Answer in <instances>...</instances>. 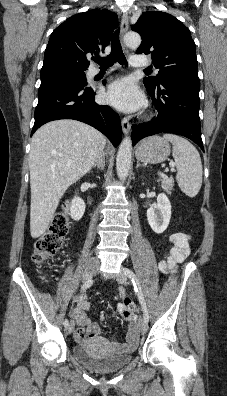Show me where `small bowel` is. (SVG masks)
<instances>
[{
	"label": "small bowel",
	"mask_w": 227,
	"mask_h": 396,
	"mask_svg": "<svg viewBox=\"0 0 227 396\" xmlns=\"http://www.w3.org/2000/svg\"><path fill=\"white\" fill-rule=\"evenodd\" d=\"M173 247L165 255L160 262L159 267L163 272H176V266L183 262L190 254V236L187 233L176 232L169 237ZM121 298L125 300L126 295L123 291L119 292ZM76 307L72 312L74 321L78 324V329L75 331V339L84 343L86 341L99 344H112L113 346H122L114 339H109L102 334L101 328L97 323L92 322L87 316L91 304L86 294L76 296ZM119 313L121 317L129 322V330L126 337L124 347H133L137 344L139 339L137 317L135 314V305L128 306L125 303L119 306Z\"/></svg>",
	"instance_id": "1"
}]
</instances>
